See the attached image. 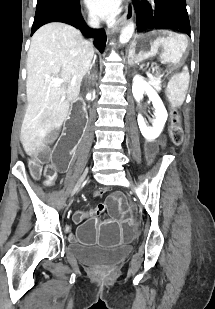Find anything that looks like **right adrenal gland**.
Masks as SVG:
<instances>
[{
  "mask_svg": "<svg viewBox=\"0 0 215 309\" xmlns=\"http://www.w3.org/2000/svg\"><path fill=\"white\" fill-rule=\"evenodd\" d=\"M96 58H97V56H96V54H94V58H93V60H92V64H90L89 70H88L87 74H90V70H91V68H92V66H93V64H94V62H95V60H96Z\"/></svg>",
  "mask_w": 215,
  "mask_h": 309,
  "instance_id": "1",
  "label": "right adrenal gland"
}]
</instances>
